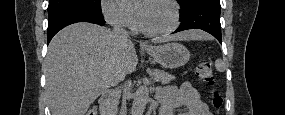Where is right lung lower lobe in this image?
I'll use <instances>...</instances> for the list:
<instances>
[{"label":"right lung lower lobe","instance_id":"obj_1","mask_svg":"<svg viewBox=\"0 0 285 115\" xmlns=\"http://www.w3.org/2000/svg\"><path fill=\"white\" fill-rule=\"evenodd\" d=\"M83 21L98 25L105 24L102 12L84 9H66L52 14L48 20V43L52 37L65 26Z\"/></svg>","mask_w":285,"mask_h":115}]
</instances>
